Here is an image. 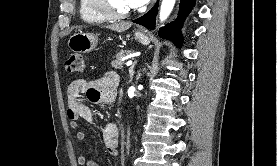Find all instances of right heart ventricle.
<instances>
[{
    "mask_svg": "<svg viewBox=\"0 0 277 166\" xmlns=\"http://www.w3.org/2000/svg\"><path fill=\"white\" fill-rule=\"evenodd\" d=\"M79 13L81 19L85 22L100 24L106 20L104 17L90 10L86 0H79Z\"/></svg>",
    "mask_w": 277,
    "mask_h": 166,
    "instance_id": "e07e8e85",
    "label": "right heart ventricle"
}]
</instances>
